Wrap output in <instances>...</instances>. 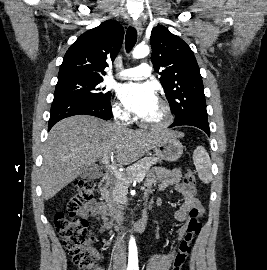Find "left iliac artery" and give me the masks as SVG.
<instances>
[{"label":"left iliac artery","mask_w":267,"mask_h":270,"mask_svg":"<svg viewBox=\"0 0 267 270\" xmlns=\"http://www.w3.org/2000/svg\"><path fill=\"white\" fill-rule=\"evenodd\" d=\"M133 270H139L138 265H135V266L133 267Z\"/></svg>","instance_id":"left-iliac-artery-1"}]
</instances>
